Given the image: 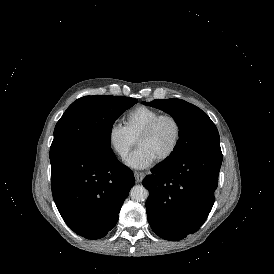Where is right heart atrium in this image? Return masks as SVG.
<instances>
[{"mask_svg":"<svg viewBox=\"0 0 274 274\" xmlns=\"http://www.w3.org/2000/svg\"><path fill=\"white\" fill-rule=\"evenodd\" d=\"M109 148L117 155L123 157L134 144V139L125 130L124 126L112 123L106 133Z\"/></svg>","mask_w":274,"mask_h":274,"instance_id":"d8ad5b80","label":"right heart atrium"}]
</instances>
